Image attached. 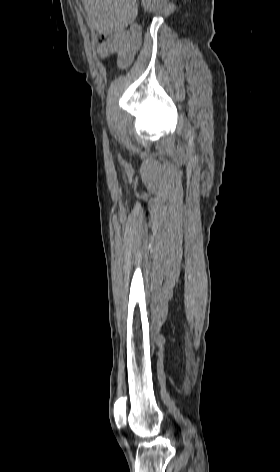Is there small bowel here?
I'll return each instance as SVG.
<instances>
[{
  "label": "small bowel",
  "mask_w": 280,
  "mask_h": 472,
  "mask_svg": "<svg viewBox=\"0 0 280 472\" xmlns=\"http://www.w3.org/2000/svg\"><path fill=\"white\" fill-rule=\"evenodd\" d=\"M140 44L141 29L138 25H133L130 31H121L114 34L106 44L100 45L97 51L102 57L113 54H117L118 58L127 56L131 63Z\"/></svg>",
  "instance_id": "1"
}]
</instances>
